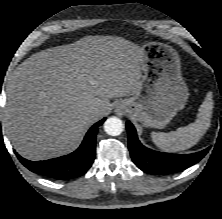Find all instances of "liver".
<instances>
[{"label":"liver","mask_w":222,"mask_h":219,"mask_svg":"<svg viewBox=\"0 0 222 219\" xmlns=\"http://www.w3.org/2000/svg\"><path fill=\"white\" fill-rule=\"evenodd\" d=\"M141 53L122 37L87 36L19 64L8 78L5 107L15 150L33 161L74 151L88 127L111 110L110 99L137 92Z\"/></svg>","instance_id":"6515ba94"}]
</instances>
